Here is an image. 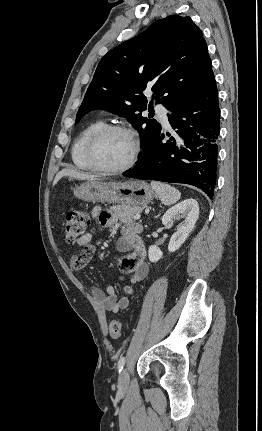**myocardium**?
Here are the masks:
<instances>
[{"label":"myocardium","instance_id":"f54148a6","mask_svg":"<svg viewBox=\"0 0 262 431\" xmlns=\"http://www.w3.org/2000/svg\"><path fill=\"white\" fill-rule=\"evenodd\" d=\"M112 132H122L126 134L127 136H129L133 144V150L129 160L124 165L117 168H109L102 165L96 157V148L99 141L101 140L102 137ZM140 152H141V143H140L139 137L137 136V134L133 129L122 124H110V125L103 126L90 137L86 146L85 156H86L87 162L95 171H98L104 174H120L129 170L135 165V163L139 158Z\"/></svg>","mask_w":262,"mask_h":431}]
</instances>
